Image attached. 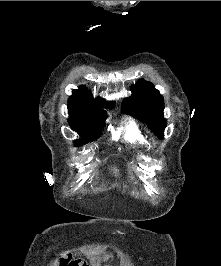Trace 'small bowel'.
Returning <instances> with one entry per match:
<instances>
[{"label":"small bowel","mask_w":221,"mask_h":266,"mask_svg":"<svg viewBox=\"0 0 221 266\" xmlns=\"http://www.w3.org/2000/svg\"><path fill=\"white\" fill-rule=\"evenodd\" d=\"M54 256H58V253H54ZM61 257H66L60 261V266H89L86 262L81 261V258L75 257V252H61Z\"/></svg>","instance_id":"c3829d8e"}]
</instances>
